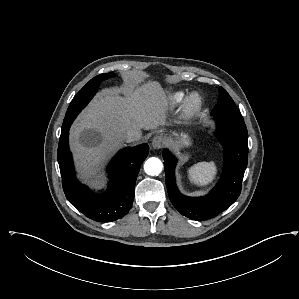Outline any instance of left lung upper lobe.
<instances>
[{"mask_svg":"<svg viewBox=\"0 0 299 299\" xmlns=\"http://www.w3.org/2000/svg\"><path fill=\"white\" fill-rule=\"evenodd\" d=\"M218 114L229 115L235 118L243 119L234 101L232 100L228 92L222 87H219L218 103L215 105L211 112V115Z\"/></svg>","mask_w":299,"mask_h":299,"instance_id":"left-lung-upper-lobe-1","label":"left lung upper lobe"}]
</instances>
